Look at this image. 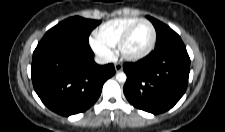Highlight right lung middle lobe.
<instances>
[{"instance_id":"obj_1","label":"right lung middle lobe","mask_w":225,"mask_h":132,"mask_svg":"<svg viewBox=\"0 0 225 132\" xmlns=\"http://www.w3.org/2000/svg\"><path fill=\"white\" fill-rule=\"evenodd\" d=\"M100 23L99 20L70 17L48 30L42 40L63 39L88 43L91 31Z\"/></svg>"}]
</instances>
